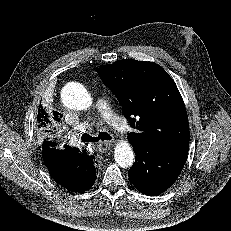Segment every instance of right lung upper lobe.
<instances>
[{
  "mask_svg": "<svg viewBox=\"0 0 231 231\" xmlns=\"http://www.w3.org/2000/svg\"><path fill=\"white\" fill-rule=\"evenodd\" d=\"M38 128L40 132L47 131V127L51 124L52 120L48 113L42 106L38 108ZM44 147L52 146L59 150L61 159H48L45 158L44 163L48 168L50 175L54 176L61 185H65L66 188H73L74 185L80 180L81 177V162L76 161V158L81 154L78 148H72L65 145L60 147L58 143L54 141H44ZM84 166H86L84 164Z\"/></svg>",
  "mask_w": 231,
  "mask_h": 231,
  "instance_id": "1",
  "label": "right lung upper lobe"
}]
</instances>
